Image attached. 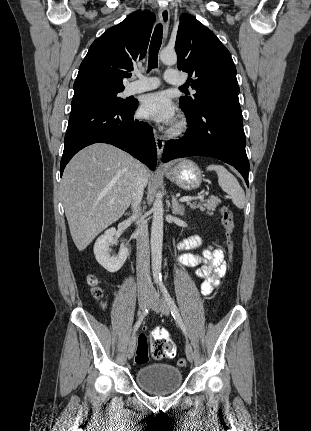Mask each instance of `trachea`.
I'll list each match as a JSON object with an SVG mask.
<instances>
[{
	"label": "trachea",
	"mask_w": 311,
	"mask_h": 431,
	"mask_svg": "<svg viewBox=\"0 0 311 431\" xmlns=\"http://www.w3.org/2000/svg\"><path fill=\"white\" fill-rule=\"evenodd\" d=\"M162 34H163V27L159 23L155 27V30L150 42L148 70H151L152 68H157L158 52L162 43ZM180 89L188 91V87H180Z\"/></svg>",
	"instance_id": "3493384b"
}]
</instances>
